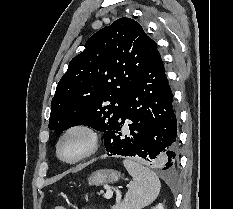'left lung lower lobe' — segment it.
<instances>
[{
  "label": "left lung lower lobe",
  "instance_id": "obj_1",
  "mask_svg": "<svg viewBox=\"0 0 233 209\" xmlns=\"http://www.w3.org/2000/svg\"><path fill=\"white\" fill-rule=\"evenodd\" d=\"M176 136L173 95L157 51L132 85L123 113L105 132L104 145L108 155L137 157L171 170L177 163Z\"/></svg>",
  "mask_w": 233,
  "mask_h": 209
}]
</instances>
